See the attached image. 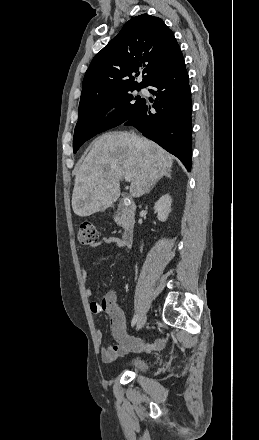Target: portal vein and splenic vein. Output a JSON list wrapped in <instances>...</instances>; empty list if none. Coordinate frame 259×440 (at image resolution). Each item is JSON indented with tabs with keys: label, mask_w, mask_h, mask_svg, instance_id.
Listing matches in <instances>:
<instances>
[{
	"label": "portal vein and splenic vein",
	"mask_w": 259,
	"mask_h": 440,
	"mask_svg": "<svg viewBox=\"0 0 259 440\" xmlns=\"http://www.w3.org/2000/svg\"><path fill=\"white\" fill-rule=\"evenodd\" d=\"M124 178H125V181H128V182H130L132 180V176L130 174H126L124 176Z\"/></svg>",
	"instance_id": "portal-vein-and-splenic-vein-1"
}]
</instances>
